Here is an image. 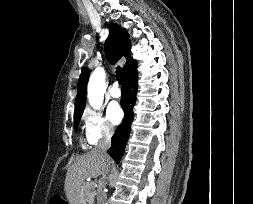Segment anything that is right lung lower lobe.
Returning a JSON list of instances; mask_svg holds the SVG:
<instances>
[{
    "mask_svg": "<svg viewBox=\"0 0 253 204\" xmlns=\"http://www.w3.org/2000/svg\"><path fill=\"white\" fill-rule=\"evenodd\" d=\"M137 65L135 64L125 74V87L122 89L121 106L125 112V117L112 137V145L108 149L109 155L116 163H119L125 150L126 141L130 134L131 122L134 117L133 106L136 101L137 91Z\"/></svg>",
    "mask_w": 253,
    "mask_h": 204,
    "instance_id": "98d812e1",
    "label": "right lung lower lobe"
}]
</instances>
